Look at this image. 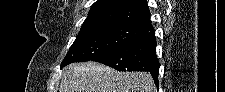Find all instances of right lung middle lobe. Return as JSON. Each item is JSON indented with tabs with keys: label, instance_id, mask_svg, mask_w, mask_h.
Here are the masks:
<instances>
[{
	"label": "right lung middle lobe",
	"instance_id": "obj_1",
	"mask_svg": "<svg viewBox=\"0 0 225 92\" xmlns=\"http://www.w3.org/2000/svg\"><path fill=\"white\" fill-rule=\"evenodd\" d=\"M143 31L121 23L83 25L61 63V68L73 63L90 61L96 56L129 43Z\"/></svg>",
	"mask_w": 225,
	"mask_h": 92
}]
</instances>
